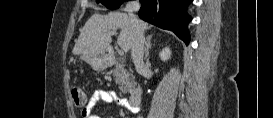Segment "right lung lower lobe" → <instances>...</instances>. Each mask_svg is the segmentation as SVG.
I'll return each instance as SVG.
<instances>
[{"label": "right lung lower lobe", "mask_w": 273, "mask_h": 118, "mask_svg": "<svg viewBox=\"0 0 273 118\" xmlns=\"http://www.w3.org/2000/svg\"><path fill=\"white\" fill-rule=\"evenodd\" d=\"M142 2L138 15L141 19L162 29L173 31L187 45L189 34L187 23L191 17L186 8L192 0H140Z\"/></svg>", "instance_id": "1"}]
</instances>
